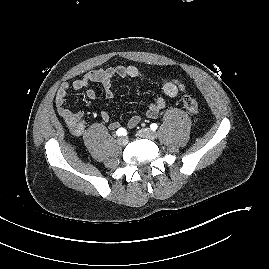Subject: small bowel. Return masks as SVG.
Returning a JSON list of instances; mask_svg holds the SVG:
<instances>
[{"label": "small bowel", "mask_w": 269, "mask_h": 269, "mask_svg": "<svg viewBox=\"0 0 269 269\" xmlns=\"http://www.w3.org/2000/svg\"><path fill=\"white\" fill-rule=\"evenodd\" d=\"M115 77L140 79L150 78L136 66L119 65L106 69L92 70L73 81L72 84H69L68 82L61 84L56 94L55 104L59 115L64 119L70 132L74 136L80 137L84 133L86 123L83 111H73L67 107L68 91L72 89L73 91L77 92L87 87L91 83H99L103 87L105 97L107 99H112L114 97L112 82ZM156 79L161 85L163 94L167 97H177L178 95L183 94L186 90L185 85L177 79L166 76H156ZM86 96L93 100L96 97V92L93 89H88ZM165 106L166 101L164 96H159L154 102L149 104L145 114L149 118H155L158 113L165 108ZM100 118L103 122L108 123L110 120V115L107 111L102 110L100 112ZM140 120L141 118L138 115L130 117L127 122L128 128H134L139 124ZM119 127L120 123L117 121H112L108 124V128L112 131L118 129Z\"/></svg>", "instance_id": "c3829d8e"}]
</instances>
